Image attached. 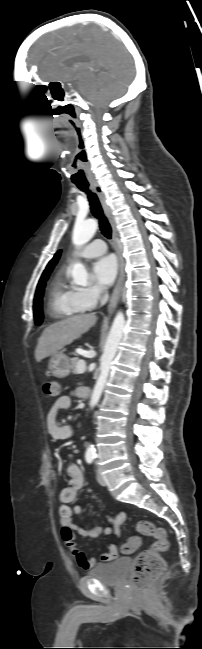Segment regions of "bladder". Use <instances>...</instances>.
Returning <instances> with one entry per match:
<instances>
[{
    "label": "bladder",
    "instance_id": "bladder-1",
    "mask_svg": "<svg viewBox=\"0 0 202 649\" xmlns=\"http://www.w3.org/2000/svg\"><path fill=\"white\" fill-rule=\"evenodd\" d=\"M130 565L129 558H119L110 563L97 564L88 570V575L108 585H118L125 578Z\"/></svg>",
    "mask_w": 202,
    "mask_h": 649
}]
</instances>
